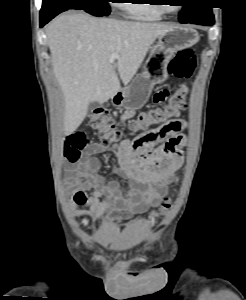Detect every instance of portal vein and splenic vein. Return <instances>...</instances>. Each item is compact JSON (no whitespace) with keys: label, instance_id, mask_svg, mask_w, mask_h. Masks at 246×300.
I'll return each instance as SVG.
<instances>
[{"label":"portal vein and splenic vein","instance_id":"1","mask_svg":"<svg viewBox=\"0 0 246 300\" xmlns=\"http://www.w3.org/2000/svg\"><path fill=\"white\" fill-rule=\"evenodd\" d=\"M117 58H119V55L117 53L111 54V56H110V62L115 61V59H117Z\"/></svg>","mask_w":246,"mask_h":300}]
</instances>
